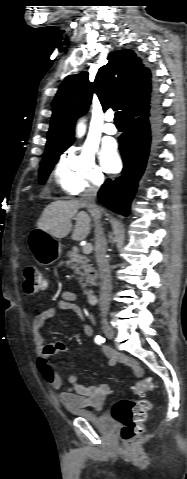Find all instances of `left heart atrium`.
<instances>
[{
	"instance_id": "obj_1",
	"label": "left heart atrium",
	"mask_w": 187,
	"mask_h": 479,
	"mask_svg": "<svg viewBox=\"0 0 187 479\" xmlns=\"http://www.w3.org/2000/svg\"><path fill=\"white\" fill-rule=\"evenodd\" d=\"M102 162L105 169L110 172L118 171L121 165L116 149L112 146L103 149Z\"/></svg>"
}]
</instances>
